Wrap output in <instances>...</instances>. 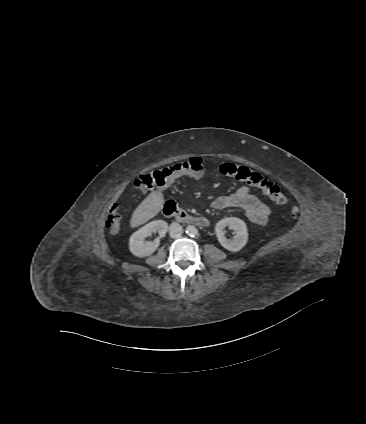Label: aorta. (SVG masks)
I'll return each mask as SVG.
<instances>
[{"label":"aorta","instance_id":"762f6f07","mask_svg":"<svg viewBox=\"0 0 366 424\" xmlns=\"http://www.w3.org/2000/svg\"><path fill=\"white\" fill-rule=\"evenodd\" d=\"M186 233L190 236H196L198 234V230L196 227L194 226H188Z\"/></svg>","mask_w":366,"mask_h":424}]
</instances>
